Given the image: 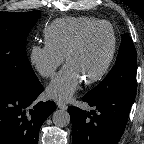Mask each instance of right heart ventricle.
<instances>
[{
	"label": "right heart ventricle",
	"instance_id": "e07e8e85",
	"mask_svg": "<svg viewBox=\"0 0 144 144\" xmlns=\"http://www.w3.org/2000/svg\"><path fill=\"white\" fill-rule=\"evenodd\" d=\"M98 21L100 20L84 16L56 19L44 30L45 44L64 57L76 35L86 26Z\"/></svg>",
	"mask_w": 144,
	"mask_h": 144
}]
</instances>
